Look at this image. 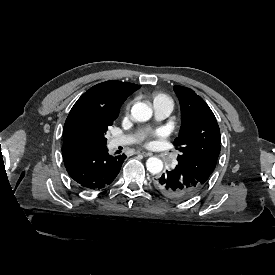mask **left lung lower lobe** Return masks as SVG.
Here are the masks:
<instances>
[{"label":"left lung lower lobe","mask_w":275,"mask_h":275,"mask_svg":"<svg viewBox=\"0 0 275 275\" xmlns=\"http://www.w3.org/2000/svg\"><path fill=\"white\" fill-rule=\"evenodd\" d=\"M154 186L169 199L184 200L196 195L203 184L177 165L174 169L156 178Z\"/></svg>","instance_id":"left-lung-lower-lobe-1"}]
</instances>
